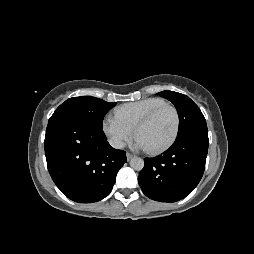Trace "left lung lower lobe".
I'll list each match as a JSON object with an SVG mask.
<instances>
[{
	"label": "left lung lower lobe",
	"instance_id": "obj_1",
	"mask_svg": "<svg viewBox=\"0 0 254 254\" xmlns=\"http://www.w3.org/2000/svg\"><path fill=\"white\" fill-rule=\"evenodd\" d=\"M208 133L176 139L163 154L144 159L138 183L143 193L156 201L176 202L197 186L205 169Z\"/></svg>",
	"mask_w": 254,
	"mask_h": 254
}]
</instances>
